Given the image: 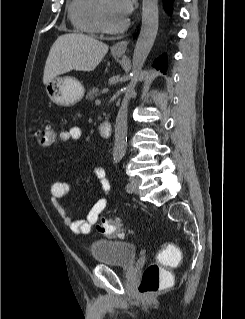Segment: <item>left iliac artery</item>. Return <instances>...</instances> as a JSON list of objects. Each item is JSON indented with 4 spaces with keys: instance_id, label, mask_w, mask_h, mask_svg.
I'll use <instances>...</instances> for the list:
<instances>
[{
    "instance_id": "44dca946",
    "label": "left iliac artery",
    "mask_w": 245,
    "mask_h": 319,
    "mask_svg": "<svg viewBox=\"0 0 245 319\" xmlns=\"http://www.w3.org/2000/svg\"><path fill=\"white\" fill-rule=\"evenodd\" d=\"M130 188H131L130 184H127V185H126V190L129 191Z\"/></svg>"
}]
</instances>
